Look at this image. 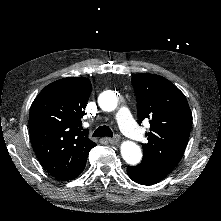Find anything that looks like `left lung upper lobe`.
Here are the masks:
<instances>
[{
	"mask_svg": "<svg viewBox=\"0 0 221 221\" xmlns=\"http://www.w3.org/2000/svg\"><path fill=\"white\" fill-rule=\"evenodd\" d=\"M137 97V115L150 119L148 143L142 144L143 160L164 174L180 161L192 124V113L185 95L169 80L155 74L132 77Z\"/></svg>",
	"mask_w": 221,
	"mask_h": 221,
	"instance_id": "5c2ea615",
	"label": "left lung upper lobe"
}]
</instances>
